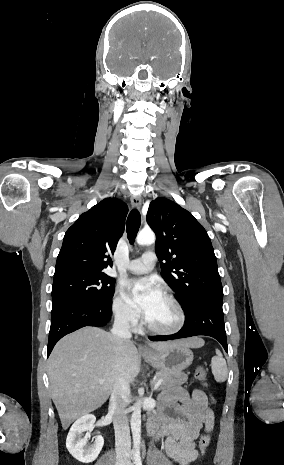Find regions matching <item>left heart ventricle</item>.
<instances>
[{"mask_svg":"<svg viewBox=\"0 0 284 465\" xmlns=\"http://www.w3.org/2000/svg\"><path fill=\"white\" fill-rule=\"evenodd\" d=\"M145 317L149 325L160 330L170 329L177 322L175 309L163 296L158 298L151 311Z\"/></svg>","mask_w":284,"mask_h":465,"instance_id":"obj_1","label":"left heart ventricle"}]
</instances>
